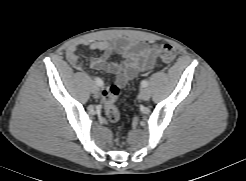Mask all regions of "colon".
<instances>
[{
  "label": "colon",
  "mask_w": 246,
  "mask_h": 181,
  "mask_svg": "<svg viewBox=\"0 0 246 181\" xmlns=\"http://www.w3.org/2000/svg\"><path fill=\"white\" fill-rule=\"evenodd\" d=\"M157 53L159 58L165 62V63H171L176 58V50L175 48L170 44H162L158 47ZM120 95V88L118 85H112L102 92V99L104 104V111L106 114V117L111 122H116L119 117L120 113L117 108V101ZM120 136V132H117V139Z\"/></svg>",
  "instance_id": "1"
}]
</instances>
